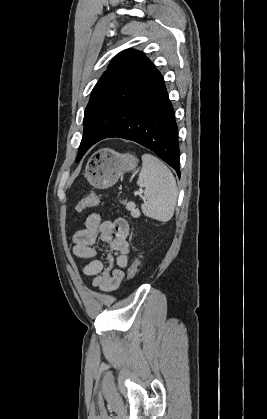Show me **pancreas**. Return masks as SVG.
<instances>
[{"instance_id":"cf45deb5","label":"pancreas","mask_w":267,"mask_h":419,"mask_svg":"<svg viewBox=\"0 0 267 419\" xmlns=\"http://www.w3.org/2000/svg\"><path fill=\"white\" fill-rule=\"evenodd\" d=\"M122 203H123L124 205H127V201H126V200H125V201H123Z\"/></svg>"}]
</instances>
